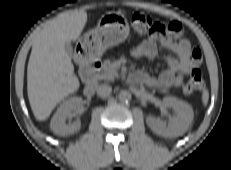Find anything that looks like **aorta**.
Returning <instances> with one entry per match:
<instances>
[{"label": "aorta", "instance_id": "762f6f07", "mask_svg": "<svg viewBox=\"0 0 231 170\" xmlns=\"http://www.w3.org/2000/svg\"><path fill=\"white\" fill-rule=\"evenodd\" d=\"M118 98H119V100L122 101V102H128V101L131 100L132 95H131V93H130L129 91H127V90H122V91H120V93H119V95H118Z\"/></svg>", "mask_w": 231, "mask_h": 170}]
</instances>
